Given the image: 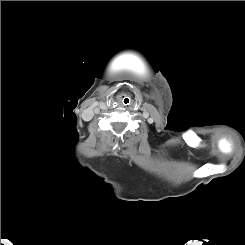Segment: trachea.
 <instances>
[{
    "mask_svg": "<svg viewBox=\"0 0 245 245\" xmlns=\"http://www.w3.org/2000/svg\"><path fill=\"white\" fill-rule=\"evenodd\" d=\"M130 103H131V99H130V97H123V99H122V104L124 105V106H128V105H130Z\"/></svg>",
    "mask_w": 245,
    "mask_h": 245,
    "instance_id": "trachea-1",
    "label": "trachea"
}]
</instances>
